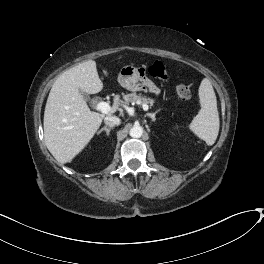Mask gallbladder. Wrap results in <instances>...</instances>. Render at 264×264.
<instances>
[{"label": "gallbladder", "instance_id": "bac80fb5", "mask_svg": "<svg viewBox=\"0 0 264 264\" xmlns=\"http://www.w3.org/2000/svg\"><path fill=\"white\" fill-rule=\"evenodd\" d=\"M81 94L83 95V97L85 98V100H89V96L86 93L81 92Z\"/></svg>", "mask_w": 264, "mask_h": 264}]
</instances>
